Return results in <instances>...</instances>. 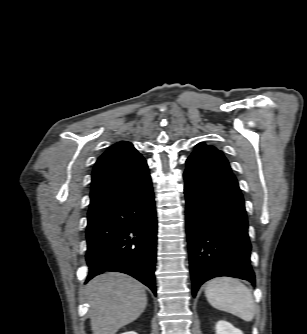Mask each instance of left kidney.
<instances>
[{"label":"left kidney","mask_w":307,"mask_h":334,"mask_svg":"<svg viewBox=\"0 0 307 334\" xmlns=\"http://www.w3.org/2000/svg\"><path fill=\"white\" fill-rule=\"evenodd\" d=\"M216 334H243V332L235 328L231 323L227 321H218L216 323Z\"/></svg>","instance_id":"left-kidney-1"}]
</instances>
